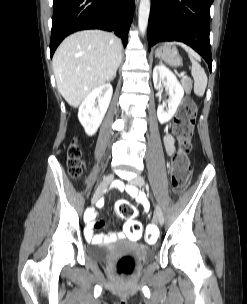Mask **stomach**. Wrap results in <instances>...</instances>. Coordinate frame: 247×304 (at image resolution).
Returning a JSON list of instances; mask_svg holds the SVG:
<instances>
[{
    "label": "stomach",
    "mask_w": 247,
    "mask_h": 304,
    "mask_svg": "<svg viewBox=\"0 0 247 304\" xmlns=\"http://www.w3.org/2000/svg\"><path fill=\"white\" fill-rule=\"evenodd\" d=\"M155 56L163 60L170 66H180L182 65V58L174 44L165 43L160 46L155 51Z\"/></svg>",
    "instance_id": "obj_1"
}]
</instances>
